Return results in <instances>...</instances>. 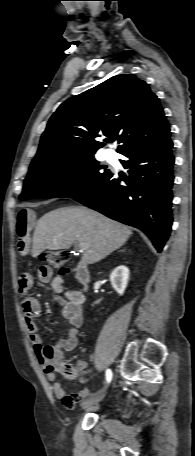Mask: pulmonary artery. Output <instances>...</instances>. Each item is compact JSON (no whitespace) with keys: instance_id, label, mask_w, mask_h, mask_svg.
<instances>
[{"instance_id":"pulmonary-artery-1","label":"pulmonary artery","mask_w":195,"mask_h":456,"mask_svg":"<svg viewBox=\"0 0 195 456\" xmlns=\"http://www.w3.org/2000/svg\"><path fill=\"white\" fill-rule=\"evenodd\" d=\"M105 157H106V159H108V160L111 159V158H112V153H111L110 151H106V152H105Z\"/></svg>"}]
</instances>
